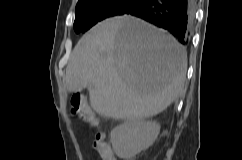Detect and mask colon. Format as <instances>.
<instances>
[{
    "instance_id": "1",
    "label": "colon",
    "mask_w": 242,
    "mask_h": 160,
    "mask_svg": "<svg viewBox=\"0 0 242 160\" xmlns=\"http://www.w3.org/2000/svg\"><path fill=\"white\" fill-rule=\"evenodd\" d=\"M71 113L73 116L77 117L81 121L98 127L99 122L90 109L86 102V99L81 94H74L71 98ZM94 147L98 151V154L102 160H114V155L112 153L109 145L104 141L101 134H98L94 140Z\"/></svg>"
}]
</instances>
